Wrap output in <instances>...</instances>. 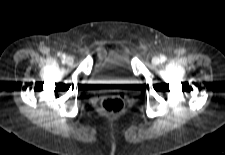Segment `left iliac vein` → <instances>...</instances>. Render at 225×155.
Returning <instances> with one entry per match:
<instances>
[{"instance_id": "1", "label": "left iliac vein", "mask_w": 225, "mask_h": 155, "mask_svg": "<svg viewBox=\"0 0 225 155\" xmlns=\"http://www.w3.org/2000/svg\"><path fill=\"white\" fill-rule=\"evenodd\" d=\"M152 63H153L154 65H158V64L160 63V59H159L158 57H154V58L152 59Z\"/></svg>"}]
</instances>
